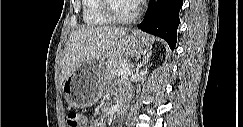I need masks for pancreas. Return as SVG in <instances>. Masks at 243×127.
<instances>
[{"label":"pancreas","instance_id":"pancreas-1","mask_svg":"<svg viewBox=\"0 0 243 127\" xmlns=\"http://www.w3.org/2000/svg\"><path fill=\"white\" fill-rule=\"evenodd\" d=\"M130 65L126 60L115 61L112 66L109 68L107 79H119L122 75L119 74V71L124 68H129Z\"/></svg>","mask_w":243,"mask_h":127}]
</instances>
